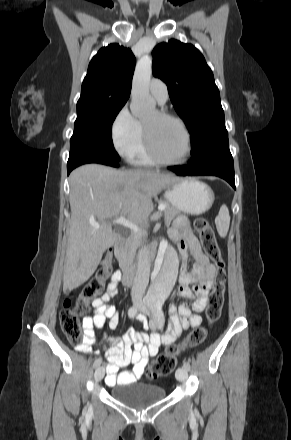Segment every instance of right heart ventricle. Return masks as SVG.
<instances>
[{
    "label": "right heart ventricle",
    "mask_w": 291,
    "mask_h": 440,
    "mask_svg": "<svg viewBox=\"0 0 291 440\" xmlns=\"http://www.w3.org/2000/svg\"><path fill=\"white\" fill-rule=\"evenodd\" d=\"M129 161L136 166H142V167H150V166H156L157 162H155L151 156L149 155L144 138H143V129H142V135L139 141V144L137 148L134 150V152L128 157Z\"/></svg>",
    "instance_id": "right-heart-ventricle-1"
}]
</instances>
